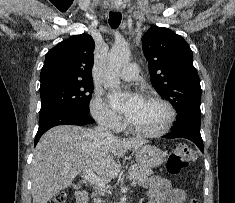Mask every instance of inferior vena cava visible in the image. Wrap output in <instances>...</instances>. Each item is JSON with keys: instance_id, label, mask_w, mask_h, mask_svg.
Wrapping results in <instances>:
<instances>
[{"instance_id": "obj_1", "label": "inferior vena cava", "mask_w": 235, "mask_h": 203, "mask_svg": "<svg viewBox=\"0 0 235 203\" xmlns=\"http://www.w3.org/2000/svg\"><path fill=\"white\" fill-rule=\"evenodd\" d=\"M96 131L102 136L107 139H110L113 137L108 124L105 121H102L99 123L98 127L96 128Z\"/></svg>"}]
</instances>
